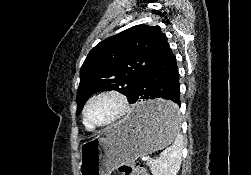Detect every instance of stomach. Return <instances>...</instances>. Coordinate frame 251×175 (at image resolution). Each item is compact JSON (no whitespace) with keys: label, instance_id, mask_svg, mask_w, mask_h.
Returning <instances> with one entry per match:
<instances>
[{"label":"stomach","instance_id":"0dacf381","mask_svg":"<svg viewBox=\"0 0 251 175\" xmlns=\"http://www.w3.org/2000/svg\"><path fill=\"white\" fill-rule=\"evenodd\" d=\"M174 100H140L130 115L112 123L84 141L80 147V175H110L118 165L129 163L140 155H148L169 145L174 134H182L179 118L169 111H178Z\"/></svg>","mask_w":251,"mask_h":175}]
</instances>
